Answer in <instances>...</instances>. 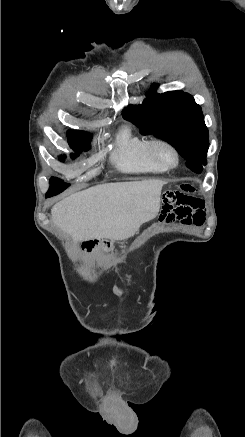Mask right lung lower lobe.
Masks as SVG:
<instances>
[{"label":"right lung lower lobe","mask_w":245,"mask_h":437,"mask_svg":"<svg viewBox=\"0 0 245 437\" xmlns=\"http://www.w3.org/2000/svg\"><path fill=\"white\" fill-rule=\"evenodd\" d=\"M68 186H69V184H67L66 186H63V187H61L59 185H51L47 194H46V197H52L54 195H57V194L61 193L64 189H66Z\"/></svg>","instance_id":"1"}]
</instances>
